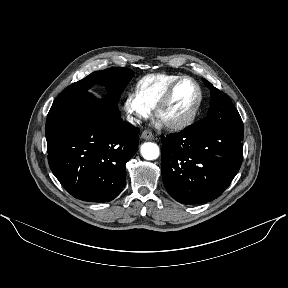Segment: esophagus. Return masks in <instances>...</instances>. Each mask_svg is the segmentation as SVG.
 <instances>
[{
    "instance_id": "esophagus-1",
    "label": "esophagus",
    "mask_w": 288,
    "mask_h": 288,
    "mask_svg": "<svg viewBox=\"0 0 288 288\" xmlns=\"http://www.w3.org/2000/svg\"><path fill=\"white\" fill-rule=\"evenodd\" d=\"M141 137L145 140H153L154 135L150 130H144L141 134Z\"/></svg>"
}]
</instances>
